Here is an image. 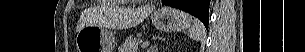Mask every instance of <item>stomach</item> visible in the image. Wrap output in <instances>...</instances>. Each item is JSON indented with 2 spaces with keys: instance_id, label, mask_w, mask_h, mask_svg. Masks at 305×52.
Instances as JSON below:
<instances>
[{
  "instance_id": "1",
  "label": "stomach",
  "mask_w": 305,
  "mask_h": 52,
  "mask_svg": "<svg viewBox=\"0 0 305 52\" xmlns=\"http://www.w3.org/2000/svg\"><path fill=\"white\" fill-rule=\"evenodd\" d=\"M156 29L163 32H180L192 24V16L183 11L161 7L151 16ZM78 52H112L115 38L112 32L98 25H88L82 28L76 36Z\"/></svg>"
}]
</instances>
